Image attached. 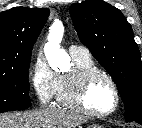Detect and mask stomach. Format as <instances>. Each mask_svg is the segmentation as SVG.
Instances as JSON below:
<instances>
[{
    "label": "stomach",
    "mask_w": 142,
    "mask_h": 128,
    "mask_svg": "<svg viewBox=\"0 0 142 128\" xmlns=\"http://www.w3.org/2000/svg\"><path fill=\"white\" fill-rule=\"evenodd\" d=\"M89 128H104V127L101 125L93 124Z\"/></svg>",
    "instance_id": "stomach-1"
}]
</instances>
